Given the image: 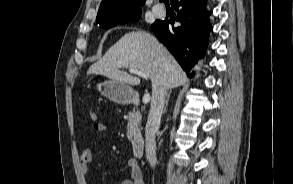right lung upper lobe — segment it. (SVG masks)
Returning <instances> with one entry per match:
<instances>
[{
	"label": "right lung upper lobe",
	"mask_w": 293,
	"mask_h": 184,
	"mask_svg": "<svg viewBox=\"0 0 293 184\" xmlns=\"http://www.w3.org/2000/svg\"><path fill=\"white\" fill-rule=\"evenodd\" d=\"M146 0H102L96 22L102 26L141 13Z\"/></svg>",
	"instance_id": "cb5924a9"
}]
</instances>
